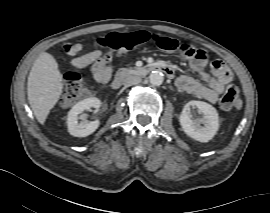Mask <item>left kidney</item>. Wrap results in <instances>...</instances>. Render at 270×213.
<instances>
[{
  "instance_id": "obj_1",
  "label": "left kidney",
  "mask_w": 270,
  "mask_h": 213,
  "mask_svg": "<svg viewBox=\"0 0 270 213\" xmlns=\"http://www.w3.org/2000/svg\"><path fill=\"white\" fill-rule=\"evenodd\" d=\"M190 107L197 108L203 114V127L191 119ZM179 122L183 131L189 137L200 142L211 140L219 128L217 110L212 105L203 101L193 100L188 102L183 108Z\"/></svg>"
}]
</instances>
